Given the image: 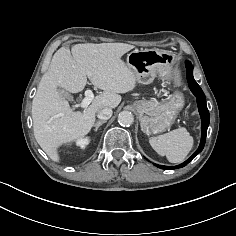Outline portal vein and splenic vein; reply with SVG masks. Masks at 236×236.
Wrapping results in <instances>:
<instances>
[{"label":"portal vein and splenic vein","mask_w":236,"mask_h":236,"mask_svg":"<svg viewBox=\"0 0 236 236\" xmlns=\"http://www.w3.org/2000/svg\"><path fill=\"white\" fill-rule=\"evenodd\" d=\"M93 98H94L93 92H92L91 90H89V89L86 90V91H85V98L82 100L80 106H81L82 108L88 107L89 104L92 102Z\"/></svg>","instance_id":"1"}]
</instances>
